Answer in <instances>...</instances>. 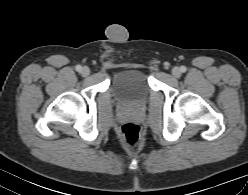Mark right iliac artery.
<instances>
[{"mask_svg": "<svg viewBox=\"0 0 248 195\" xmlns=\"http://www.w3.org/2000/svg\"><path fill=\"white\" fill-rule=\"evenodd\" d=\"M76 70H77L78 72H80V71L82 70V66H81V65H77V66H76Z\"/></svg>", "mask_w": 248, "mask_h": 195, "instance_id": "obj_1", "label": "right iliac artery"}]
</instances>
